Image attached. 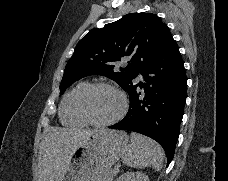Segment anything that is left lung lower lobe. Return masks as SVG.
Listing matches in <instances>:
<instances>
[{"instance_id":"0a47b994","label":"left lung lower lobe","mask_w":228,"mask_h":181,"mask_svg":"<svg viewBox=\"0 0 228 181\" xmlns=\"http://www.w3.org/2000/svg\"><path fill=\"white\" fill-rule=\"evenodd\" d=\"M139 74L145 83L133 85L126 116L109 128L138 132L156 140L166 153L168 165L179 136L187 88L184 63L172 37Z\"/></svg>"}]
</instances>
